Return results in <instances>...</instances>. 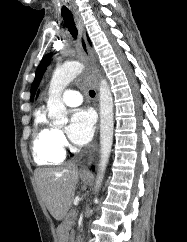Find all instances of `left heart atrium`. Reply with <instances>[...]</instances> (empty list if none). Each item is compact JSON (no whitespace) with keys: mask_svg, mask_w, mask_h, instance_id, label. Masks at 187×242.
Segmentation results:
<instances>
[{"mask_svg":"<svg viewBox=\"0 0 187 242\" xmlns=\"http://www.w3.org/2000/svg\"><path fill=\"white\" fill-rule=\"evenodd\" d=\"M95 115L90 109L77 108L71 112L67 134L77 145L88 143L94 133Z\"/></svg>","mask_w":187,"mask_h":242,"instance_id":"1","label":"left heart atrium"}]
</instances>
